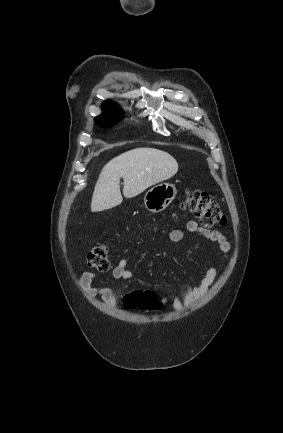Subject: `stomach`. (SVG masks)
<instances>
[{"label": "stomach", "mask_w": 283, "mask_h": 433, "mask_svg": "<svg viewBox=\"0 0 283 433\" xmlns=\"http://www.w3.org/2000/svg\"><path fill=\"white\" fill-rule=\"evenodd\" d=\"M175 194V184L159 182V184H155L150 190H147L144 196L145 206L151 212H160V210H164L172 202Z\"/></svg>", "instance_id": "0dacf381"}]
</instances>
